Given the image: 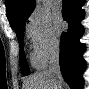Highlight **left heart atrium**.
I'll list each match as a JSON object with an SVG mask.
<instances>
[{
  "mask_svg": "<svg viewBox=\"0 0 89 89\" xmlns=\"http://www.w3.org/2000/svg\"><path fill=\"white\" fill-rule=\"evenodd\" d=\"M53 22L55 29L59 32L64 29L65 22L63 21V18L60 13L56 12L53 14Z\"/></svg>",
  "mask_w": 89,
  "mask_h": 89,
  "instance_id": "1",
  "label": "left heart atrium"
}]
</instances>
